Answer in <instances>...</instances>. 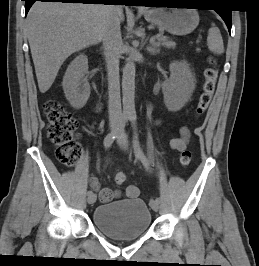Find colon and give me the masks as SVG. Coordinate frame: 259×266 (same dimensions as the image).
<instances>
[{"label": "colon", "instance_id": "colon-1", "mask_svg": "<svg viewBox=\"0 0 259 266\" xmlns=\"http://www.w3.org/2000/svg\"><path fill=\"white\" fill-rule=\"evenodd\" d=\"M209 63L210 65L204 72L203 90L195 109L198 116L205 113L215 91L218 72L212 59ZM44 114L48 138L56 147L58 160L66 166H73L81 156V147L76 139L77 120L56 100H48L45 103ZM191 157L190 151L181 152L180 164L187 167L191 163ZM114 180L116 184L122 185L126 181V175L123 172H118Z\"/></svg>", "mask_w": 259, "mask_h": 266}]
</instances>
